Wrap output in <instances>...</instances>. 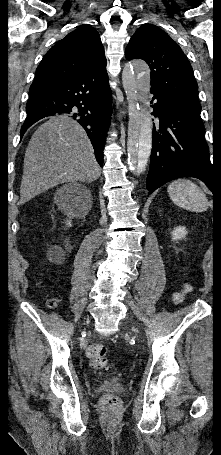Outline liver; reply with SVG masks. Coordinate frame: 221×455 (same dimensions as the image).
Listing matches in <instances>:
<instances>
[{
    "label": "liver",
    "mask_w": 221,
    "mask_h": 455,
    "mask_svg": "<svg viewBox=\"0 0 221 455\" xmlns=\"http://www.w3.org/2000/svg\"><path fill=\"white\" fill-rule=\"evenodd\" d=\"M92 144L73 119L54 116L31 137L24 157L19 204L61 183L100 177Z\"/></svg>",
    "instance_id": "liver-1"
}]
</instances>
